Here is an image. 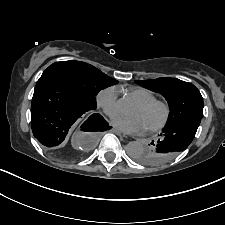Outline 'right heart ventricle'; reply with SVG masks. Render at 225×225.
I'll use <instances>...</instances> for the list:
<instances>
[{
    "label": "right heart ventricle",
    "instance_id": "right-heart-ventricle-1",
    "mask_svg": "<svg viewBox=\"0 0 225 225\" xmlns=\"http://www.w3.org/2000/svg\"><path fill=\"white\" fill-rule=\"evenodd\" d=\"M128 94L138 103L150 101L156 98L155 94L152 91L142 87L133 88L129 91Z\"/></svg>",
    "mask_w": 225,
    "mask_h": 225
}]
</instances>
